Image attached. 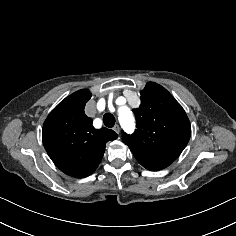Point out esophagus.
<instances>
[{
    "mask_svg": "<svg viewBox=\"0 0 236 236\" xmlns=\"http://www.w3.org/2000/svg\"><path fill=\"white\" fill-rule=\"evenodd\" d=\"M113 130L117 133V134H119L120 133V127H119V125H115L114 127H113Z\"/></svg>",
    "mask_w": 236,
    "mask_h": 236,
    "instance_id": "esophagus-1",
    "label": "esophagus"
}]
</instances>
